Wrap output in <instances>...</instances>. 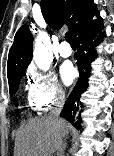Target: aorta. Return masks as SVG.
I'll list each match as a JSON object with an SVG mask.
<instances>
[{
    "label": "aorta",
    "instance_id": "obj_1",
    "mask_svg": "<svg viewBox=\"0 0 114 156\" xmlns=\"http://www.w3.org/2000/svg\"><path fill=\"white\" fill-rule=\"evenodd\" d=\"M33 59L43 71H47L53 61L50 38L46 33L39 32L34 46Z\"/></svg>",
    "mask_w": 114,
    "mask_h": 156
}]
</instances>
